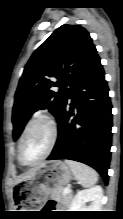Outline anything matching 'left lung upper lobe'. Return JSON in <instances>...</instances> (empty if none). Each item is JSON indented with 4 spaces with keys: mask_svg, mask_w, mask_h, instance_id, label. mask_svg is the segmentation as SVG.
<instances>
[{
    "mask_svg": "<svg viewBox=\"0 0 123 219\" xmlns=\"http://www.w3.org/2000/svg\"><path fill=\"white\" fill-rule=\"evenodd\" d=\"M98 56L88 31L64 24L32 54L20 78L13 106V138L16 140L31 115L49 109L58 120L81 71ZM51 87H59L57 92Z\"/></svg>",
    "mask_w": 123,
    "mask_h": 219,
    "instance_id": "1",
    "label": "left lung upper lobe"
}]
</instances>
